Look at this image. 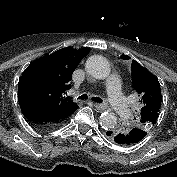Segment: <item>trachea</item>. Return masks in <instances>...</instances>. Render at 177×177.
Instances as JSON below:
<instances>
[{
	"mask_svg": "<svg viewBox=\"0 0 177 177\" xmlns=\"http://www.w3.org/2000/svg\"><path fill=\"white\" fill-rule=\"evenodd\" d=\"M87 98H88L87 94H83V95L78 97V99H82V100H85ZM92 100L95 101V102H98V103L103 102V100L101 98H99V97H92Z\"/></svg>",
	"mask_w": 177,
	"mask_h": 177,
	"instance_id": "3493384b",
	"label": "trachea"
}]
</instances>
